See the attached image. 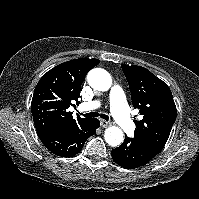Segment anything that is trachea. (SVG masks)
Masks as SVG:
<instances>
[{"label":"trachea","instance_id":"trachea-1","mask_svg":"<svg viewBox=\"0 0 199 199\" xmlns=\"http://www.w3.org/2000/svg\"><path fill=\"white\" fill-rule=\"evenodd\" d=\"M80 114L83 115L86 118H92V117H99L100 116L102 119H104L106 121L109 120V117L106 114H100L98 112H92V113H86V114L80 113Z\"/></svg>","mask_w":199,"mask_h":199}]
</instances>
